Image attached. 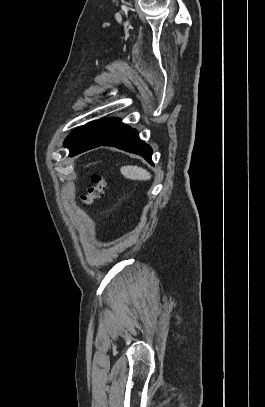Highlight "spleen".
Returning <instances> with one entry per match:
<instances>
[{
  "label": "spleen",
  "mask_w": 265,
  "mask_h": 407,
  "mask_svg": "<svg viewBox=\"0 0 265 407\" xmlns=\"http://www.w3.org/2000/svg\"><path fill=\"white\" fill-rule=\"evenodd\" d=\"M122 175L131 180H149L151 174L146 170L138 166H124L121 167Z\"/></svg>",
  "instance_id": "1"
}]
</instances>
